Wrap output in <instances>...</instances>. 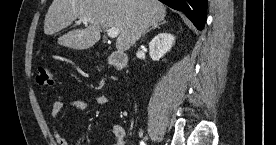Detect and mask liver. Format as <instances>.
Wrapping results in <instances>:
<instances>
[{
    "mask_svg": "<svg viewBox=\"0 0 276 145\" xmlns=\"http://www.w3.org/2000/svg\"><path fill=\"white\" fill-rule=\"evenodd\" d=\"M166 16L158 0H53L44 21V33L53 35L80 17H89L84 29L69 31L58 39L62 46L84 50L95 45L105 27L119 29L116 48L129 50L141 35Z\"/></svg>",
    "mask_w": 276,
    "mask_h": 145,
    "instance_id": "6515ba94",
    "label": "liver"
}]
</instances>
